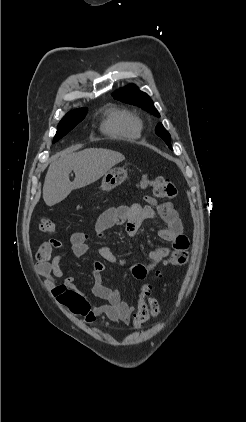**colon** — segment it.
I'll return each instance as SVG.
<instances>
[{"mask_svg":"<svg viewBox=\"0 0 246 422\" xmlns=\"http://www.w3.org/2000/svg\"><path fill=\"white\" fill-rule=\"evenodd\" d=\"M142 185L152 188L154 194L161 198L172 199L177 195L175 184L164 177L154 178L144 177ZM40 231L45 234H52L55 231V224L50 219H43L40 223ZM188 254L184 250H174L167 262L171 265H183L187 262ZM161 309L159 302L151 296V286L146 283L141 287L137 300V311L134 314L133 324L135 328H141L142 325L151 318L160 315Z\"/></svg>","mask_w":246,"mask_h":422,"instance_id":"obj_1","label":"colon"}]
</instances>
